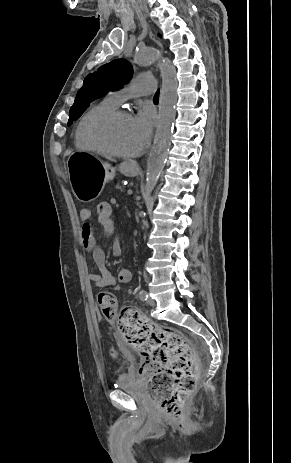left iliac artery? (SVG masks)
I'll return each mask as SVG.
<instances>
[{
    "label": "left iliac artery",
    "mask_w": 291,
    "mask_h": 463,
    "mask_svg": "<svg viewBox=\"0 0 291 463\" xmlns=\"http://www.w3.org/2000/svg\"><path fill=\"white\" fill-rule=\"evenodd\" d=\"M139 298H140V300H142V301H146L147 298H148L147 292H146L145 290H141V291L139 292Z\"/></svg>",
    "instance_id": "obj_1"
}]
</instances>
